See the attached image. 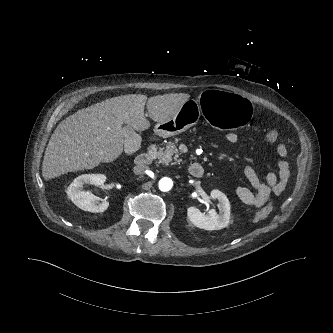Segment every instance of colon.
Wrapping results in <instances>:
<instances>
[{"instance_id": "1", "label": "colon", "mask_w": 333, "mask_h": 333, "mask_svg": "<svg viewBox=\"0 0 333 333\" xmlns=\"http://www.w3.org/2000/svg\"><path fill=\"white\" fill-rule=\"evenodd\" d=\"M265 139L269 143H275L279 139V134L275 130H270L267 132ZM273 208H274L273 200L266 201L264 206L256 213L255 218L258 221L265 219L272 212Z\"/></svg>"}]
</instances>
